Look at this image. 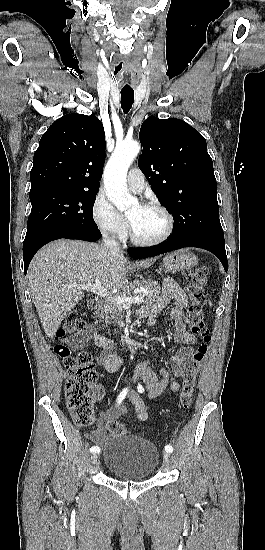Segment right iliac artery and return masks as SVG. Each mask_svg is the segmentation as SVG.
<instances>
[{
	"label": "right iliac artery",
	"instance_id": "1",
	"mask_svg": "<svg viewBox=\"0 0 265 550\" xmlns=\"http://www.w3.org/2000/svg\"><path fill=\"white\" fill-rule=\"evenodd\" d=\"M127 392H128V389H127V388H125V389L122 390V392H121V393L119 394V396L117 397V403H118V404H120V403L124 400V398H125ZM90 452L99 453V452H100V448H99L98 446H92V447L90 448Z\"/></svg>",
	"mask_w": 265,
	"mask_h": 550
}]
</instances>
